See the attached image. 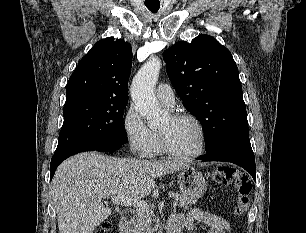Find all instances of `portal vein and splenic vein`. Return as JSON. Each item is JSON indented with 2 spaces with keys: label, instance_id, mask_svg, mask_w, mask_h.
I'll list each match as a JSON object with an SVG mask.
<instances>
[{
  "label": "portal vein and splenic vein",
  "instance_id": "1",
  "mask_svg": "<svg viewBox=\"0 0 306 233\" xmlns=\"http://www.w3.org/2000/svg\"><path fill=\"white\" fill-rule=\"evenodd\" d=\"M111 201L114 204H118V205L133 206V207L138 208V209H146V210L149 209V205L146 202H144L142 200H139V199H136V198H134V199L133 198H128L124 194H118L115 197H111ZM177 205H178L177 201L172 203L173 208H176Z\"/></svg>",
  "mask_w": 306,
  "mask_h": 233
}]
</instances>
